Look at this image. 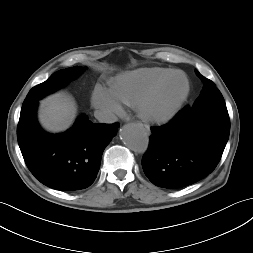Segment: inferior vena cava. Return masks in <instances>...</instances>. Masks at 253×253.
Instances as JSON below:
<instances>
[{
    "label": "inferior vena cava",
    "mask_w": 253,
    "mask_h": 253,
    "mask_svg": "<svg viewBox=\"0 0 253 253\" xmlns=\"http://www.w3.org/2000/svg\"><path fill=\"white\" fill-rule=\"evenodd\" d=\"M94 116L101 123H114L117 121V117L114 113L103 109L96 110Z\"/></svg>",
    "instance_id": "602c4592"
}]
</instances>
